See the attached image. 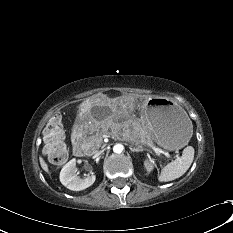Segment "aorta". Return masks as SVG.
Returning a JSON list of instances; mask_svg holds the SVG:
<instances>
[{
  "instance_id": "obj_1",
  "label": "aorta",
  "mask_w": 233,
  "mask_h": 233,
  "mask_svg": "<svg viewBox=\"0 0 233 233\" xmlns=\"http://www.w3.org/2000/svg\"><path fill=\"white\" fill-rule=\"evenodd\" d=\"M124 150V146L122 144H115L113 147V152L116 154H121Z\"/></svg>"
}]
</instances>
